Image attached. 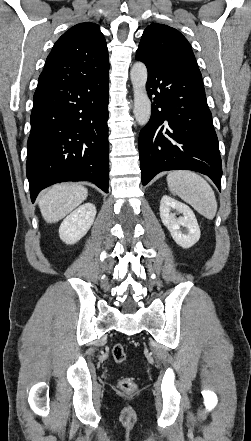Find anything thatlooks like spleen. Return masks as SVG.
Instances as JSON below:
<instances>
[{
    "mask_svg": "<svg viewBox=\"0 0 251 441\" xmlns=\"http://www.w3.org/2000/svg\"><path fill=\"white\" fill-rule=\"evenodd\" d=\"M168 188L205 218L212 220L217 211V201L211 186L192 171H172L167 175Z\"/></svg>",
    "mask_w": 251,
    "mask_h": 441,
    "instance_id": "obj_1",
    "label": "spleen"
}]
</instances>
